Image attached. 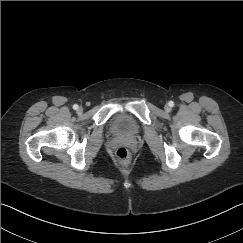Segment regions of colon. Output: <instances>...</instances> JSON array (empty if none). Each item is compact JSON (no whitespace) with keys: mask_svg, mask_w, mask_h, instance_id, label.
<instances>
[{"mask_svg":"<svg viewBox=\"0 0 243 243\" xmlns=\"http://www.w3.org/2000/svg\"><path fill=\"white\" fill-rule=\"evenodd\" d=\"M116 161L122 165L126 166L130 163V153L125 147H119L115 153Z\"/></svg>","mask_w":243,"mask_h":243,"instance_id":"1","label":"colon"}]
</instances>
